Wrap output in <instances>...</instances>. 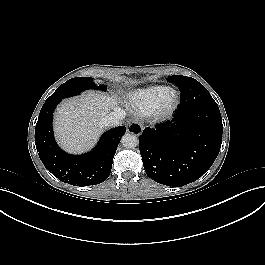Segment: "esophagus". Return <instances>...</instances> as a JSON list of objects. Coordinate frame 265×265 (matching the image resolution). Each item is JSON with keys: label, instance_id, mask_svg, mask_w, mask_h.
I'll list each match as a JSON object with an SVG mask.
<instances>
[{"label": "esophagus", "instance_id": "obj_1", "mask_svg": "<svg viewBox=\"0 0 265 265\" xmlns=\"http://www.w3.org/2000/svg\"><path fill=\"white\" fill-rule=\"evenodd\" d=\"M127 132L138 135L142 132V125L139 122H130L127 127Z\"/></svg>", "mask_w": 265, "mask_h": 265}]
</instances>
